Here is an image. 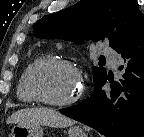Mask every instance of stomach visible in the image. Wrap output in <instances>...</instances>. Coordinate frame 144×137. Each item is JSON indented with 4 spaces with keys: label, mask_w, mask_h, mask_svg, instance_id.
I'll list each match as a JSON object with an SVG mask.
<instances>
[{
    "label": "stomach",
    "mask_w": 144,
    "mask_h": 137,
    "mask_svg": "<svg viewBox=\"0 0 144 137\" xmlns=\"http://www.w3.org/2000/svg\"><path fill=\"white\" fill-rule=\"evenodd\" d=\"M69 137H87L79 126H72L68 130ZM11 137H43L40 125L17 124L11 130Z\"/></svg>",
    "instance_id": "obj_1"
}]
</instances>
